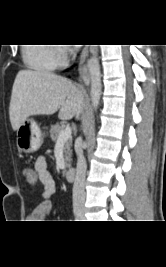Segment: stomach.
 Wrapping results in <instances>:
<instances>
[{"mask_svg": "<svg viewBox=\"0 0 166 267\" xmlns=\"http://www.w3.org/2000/svg\"><path fill=\"white\" fill-rule=\"evenodd\" d=\"M42 141V132L33 119H26L17 130V147L24 153L37 151Z\"/></svg>", "mask_w": 166, "mask_h": 267, "instance_id": "1", "label": "stomach"}]
</instances>
